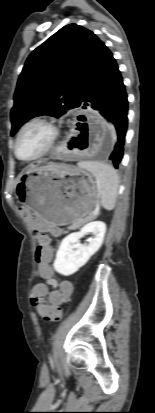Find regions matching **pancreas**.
<instances>
[{
  "label": "pancreas",
  "instance_id": "pancreas-1",
  "mask_svg": "<svg viewBox=\"0 0 155 413\" xmlns=\"http://www.w3.org/2000/svg\"><path fill=\"white\" fill-rule=\"evenodd\" d=\"M93 218H95V215H94V214H92L91 216H89L85 221L74 222L73 224H71V225L68 227V229H69V230L77 229V228L81 227L86 221L92 220Z\"/></svg>",
  "mask_w": 155,
  "mask_h": 413
}]
</instances>
